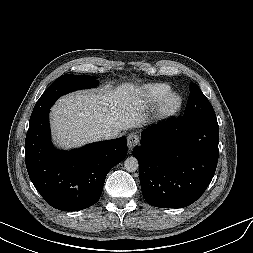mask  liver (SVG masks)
<instances>
[{
  "mask_svg": "<svg viewBox=\"0 0 253 253\" xmlns=\"http://www.w3.org/2000/svg\"><path fill=\"white\" fill-rule=\"evenodd\" d=\"M140 88L123 84L95 92L79 91L60 98L51 109V127L60 147H80L100 138L97 132L140 127L144 122Z\"/></svg>",
  "mask_w": 253,
  "mask_h": 253,
  "instance_id": "1",
  "label": "liver"
}]
</instances>
